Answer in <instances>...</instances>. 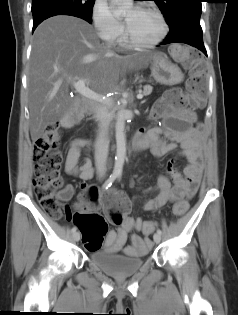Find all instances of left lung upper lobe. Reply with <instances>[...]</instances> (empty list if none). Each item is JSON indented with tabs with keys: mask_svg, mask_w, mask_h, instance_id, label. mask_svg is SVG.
Here are the masks:
<instances>
[{
	"mask_svg": "<svg viewBox=\"0 0 238 315\" xmlns=\"http://www.w3.org/2000/svg\"><path fill=\"white\" fill-rule=\"evenodd\" d=\"M166 17V22L170 31L175 29L183 20L201 16L202 0H154Z\"/></svg>",
	"mask_w": 238,
	"mask_h": 315,
	"instance_id": "left-lung-upper-lobe-1",
	"label": "left lung upper lobe"
}]
</instances>
